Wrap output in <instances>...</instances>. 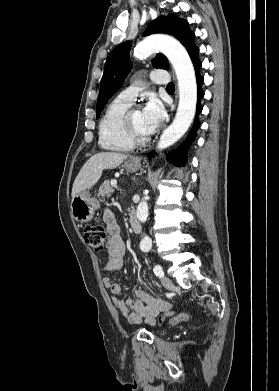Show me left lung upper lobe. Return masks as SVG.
I'll use <instances>...</instances> for the list:
<instances>
[{
    "label": "left lung upper lobe",
    "instance_id": "5c2ea615",
    "mask_svg": "<svg viewBox=\"0 0 279 391\" xmlns=\"http://www.w3.org/2000/svg\"><path fill=\"white\" fill-rule=\"evenodd\" d=\"M154 33L173 35L185 46L189 55L197 48L194 42L195 35L190 30L188 22L178 18L173 13L153 20L144 35L147 36ZM130 49V42L122 43L115 47L107 58L97 101V117H99L107 101L122 86L132 67L129 60ZM152 65L155 68H169L167 58L160 53L152 60Z\"/></svg>",
    "mask_w": 279,
    "mask_h": 391
}]
</instances>
